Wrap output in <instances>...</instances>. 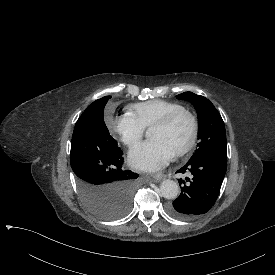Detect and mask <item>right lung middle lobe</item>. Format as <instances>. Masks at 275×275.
I'll return each mask as SVG.
<instances>
[{"instance_id":"dd1d6c3e","label":"right lung middle lobe","mask_w":275,"mask_h":275,"mask_svg":"<svg viewBox=\"0 0 275 275\" xmlns=\"http://www.w3.org/2000/svg\"><path fill=\"white\" fill-rule=\"evenodd\" d=\"M110 98L91 103L76 122L70 162L89 209L101 218L117 219L129 211L139 175L122 168L123 152L104 123L103 110Z\"/></svg>"}]
</instances>
